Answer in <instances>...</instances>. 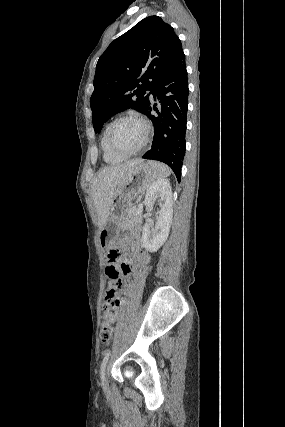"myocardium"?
I'll list each match as a JSON object with an SVG mask.
<instances>
[{
	"mask_svg": "<svg viewBox=\"0 0 285 427\" xmlns=\"http://www.w3.org/2000/svg\"><path fill=\"white\" fill-rule=\"evenodd\" d=\"M124 120H135V121L139 122L144 128V138H143L142 142L140 143V145L137 148H135L134 150H131V151H125V150L120 149L119 147H117L114 144V142L112 140V133H113L115 126L119 122L124 121ZM149 135H150V124H149V122L144 117H142L138 114L128 113V114H124V115H121V116L115 118L110 123V126L107 130V143H108L109 148L114 153L129 157V156L137 154L147 145V143L149 141Z\"/></svg>",
	"mask_w": 285,
	"mask_h": 427,
	"instance_id": "obj_1",
	"label": "myocardium"
}]
</instances>
